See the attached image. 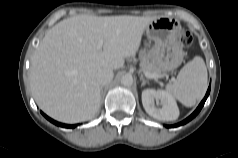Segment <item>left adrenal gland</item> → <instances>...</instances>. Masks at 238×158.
Masks as SVG:
<instances>
[{
    "label": "left adrenal gland",
    "mask_w": 238,
    "mask_h": 158,
    "mask_svg": "<svg viewBox=\"0 0 238 158\" xmlns=\"http://www.w3.org/2000/svg\"><path fill=\"white\" fill-rule=\"evenodd\" d=\"M140 80L142 81L141 87H143L146 83H148V81L144 79L142 74L140 75Z\"/></svg>",
    "instance_id": "obj_1"
}]
</instances>
